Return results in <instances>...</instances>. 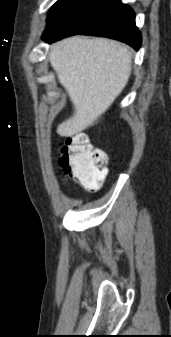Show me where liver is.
Returning <instances> with one entry per match:
<instances>
[{
    "instance_id": "6515ba94",
    "label": "liver",
    "mask_w": 171,
    "mask_h": 337,
    "mask_svg": "<svg viewBox=\"0 0 171 337\" xmlns=\"http://www.w3.org/2000/svg\"><path fill=\"white\" fill-rule=\"evenodd\" d=\"M51 66L66 89L74 114L57 127L73 136L93 125L125 88L131 74V54L104 38L71 37L51 48Z\"/></svg>"
}]
</instances>
